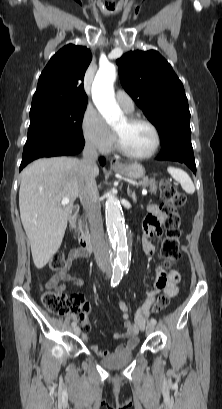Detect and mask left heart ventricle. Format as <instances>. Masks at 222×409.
<instances>
[{"instance_id":"left-heart-ventricle-1","label":"left heart ventricle","mask_w":222,"mask_h":409,"mask_svg":"<svg viewBox=\"0 0 222 409\" xmlns=\"http://www.w3.org/2000/svg\"><path fill=\"white\" fill-rule=\"evenodd\" d=\"M124 147L134 154L148 153L154 146L155 136L152 129L142 123L129 124L127 119L114 127Z\"/></svg>"}]
</instances>
